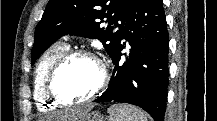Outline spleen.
Wrapping results in <instances>:
<instances>
[{"label":"spleen","instance_id":"1","mask_svg":"<svg viewBox=\"0 0 217 121\" xmlns=\"http://www.w3.org/2000/svg\"><path fill=\"white\" fill-rule=\"evenodd\" d=\"M108 111L109 121H146L143 112L129 104H114Z\"/></svg>","mask_w":217,"mask_h":121}]
</instances>
